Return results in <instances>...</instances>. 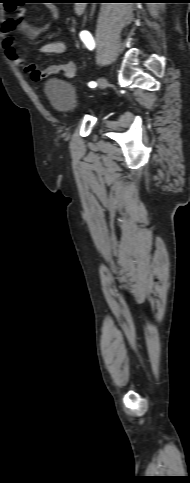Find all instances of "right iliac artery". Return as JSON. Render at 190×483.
Listing matches in <instances>:
<instances>
[{"mask_svg":"<svg viewBox=\"0 0 190 483\" xmlns=\"http://www.w3.org/2000/svg\"><path fill=\"white\" fill-rule=\"evenodd\" d=\"M80 38L89 50L94 49L95 43H94L93 37L88 31H82L80 33ZM88 86L91 88H95L97 86V83L94 81H91L88 83Z\"/></svg>","mask_w":190,"mask_h":483,"instance_id":"right-iliac-artery-1","label":"right iliac artery"}]
</instances>
